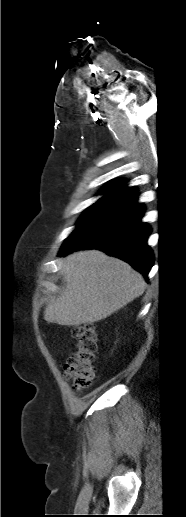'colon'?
Here are the masks:
<instances>
[{"label":"colon","instance_id":"1","mask_svg":"<svg viewBox=\"0 0 186 517\" xmlns=\"http://www.w3.org/2000/svg\"><path fill=\"white\" fill-rule=\"evenodd\" d=\"M71 333L77 341V350L65 364L64 376L81 390L88 388L95 377L98 331L92 324H82L71 327Z\"/></svg>","mask_w":186,"mask_h":517}]
</instances>
